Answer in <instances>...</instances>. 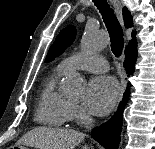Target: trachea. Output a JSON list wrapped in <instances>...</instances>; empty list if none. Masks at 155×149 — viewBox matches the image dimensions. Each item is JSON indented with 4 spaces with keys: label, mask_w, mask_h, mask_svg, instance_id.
<instances>
[{
    "label": "trachea",
    "mask_w": 155,
    "mask_h": 149,
    "mask_svg": "<svg viewBox=\"0 0 155 149\" xmlns=\"http://www.w3.org/2000/svg\"><path fill=\"white\" fill-rule=\"evenodd\" d=\"M93 2L99 9L109 32L111 50L113 54L118 57L121 55L124 47L122 27L115 16L113 9L109 6L106 0H93Z\"/></svg>",
    "instance_id": "obj_1"
}]
</instances>
